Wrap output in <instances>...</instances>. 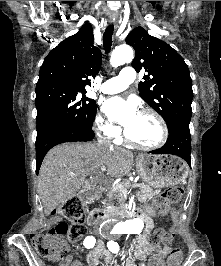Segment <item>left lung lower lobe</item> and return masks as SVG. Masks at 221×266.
<instances>
[{"label":"left lung lower lobe","mask_w":221,"mask_h":266,"mask_svg":"<svg viewBox=\"0 0 221 266\" xmlns=\"http://www.w3.org/2000/svg\"><path fill=\"white\" fill-rule=\"evenodd\" d=\"M168 131L169 136L165 145L157 150L151 151V153L158 155H176L191 165V139L189 123H176L169 127Z\"/></svg>","instance_id":"0a47b994"}]
</instances>
